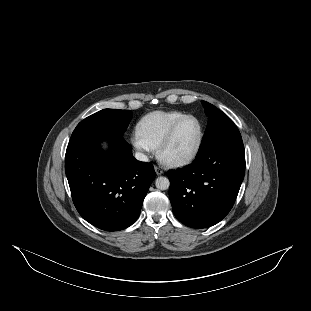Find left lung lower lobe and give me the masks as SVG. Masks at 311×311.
Returning <instances> with one entry per match:
<instances>
[{
  "instance_id": "left-lung-lower-lobe-1",
  "label": "left lung lower lobe",
  "mask_w": 311,
  "mask_h": 311,
  "mask_svg": "<svg viewBox=\"0 0 311 311\" xmlns=\"http://www.w3.org/2000/svg\"><path fill=\"white\" fill-rule=\"evenodd\" d=\"M244 174L241 137L224 139L198 152L191 165L167 172L174 215L192 228L220 222L231 210Z\"/></svg>"
}]
</instances>
